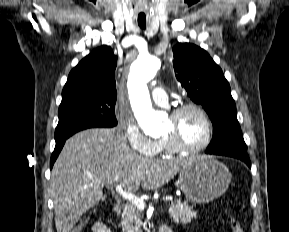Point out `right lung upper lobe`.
Segmentation results:
<instances>
[{"mask_svg": "<svg viewBox=\"0 0 289 232\" xmlns=\"http://www.w3.org/2000/svg\"><path fill=\"white\" fill-rule=\"evenodd\" d=\"M117 56L109 46L92 51L74 67L62 91V102L88 96L116 99L115 68Z\"/></svg>", "mask_w": 289, "mask_h": 232, "instance_id": "right-lung-upper-lobe-1", "label": "right lung upper lobe"}]
</instances>
